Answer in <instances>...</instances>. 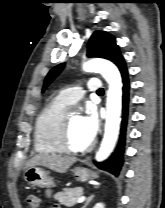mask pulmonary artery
I'll list each match as a JSON object with an SVG mask.
<instances>
[{"mask_svg": "<svg viewBox=\"0 0 165 208\" xmlns=\"http://www.w3.org/2000/svg\"><path fill=\"white\" fill-rule=\"evenodd\" d=\"M101 87L102 84L99 78H91L88 80L86 88L74 87L65 89L59 93L57 99L66 106L74 105L84 96L85 92L96 93Z\"/></svg>", "mask_w": 165, "mask_h": 208, "instance_id": "1", "label": "pulmonary artery"}]
</instances>
